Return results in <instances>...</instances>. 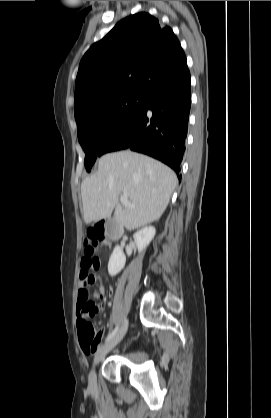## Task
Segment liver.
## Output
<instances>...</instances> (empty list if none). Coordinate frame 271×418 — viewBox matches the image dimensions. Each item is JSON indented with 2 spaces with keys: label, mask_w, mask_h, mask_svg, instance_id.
<instances>
[{
  "label": "liver",
  "mask_w": 271,
  "mask_h": 418,
  "mask_svg": "<svg viewBox=\"0 0 271 418\" xmlns=\"http://www.w3.org/2000/svg\"><path fill=\"white\" fill-rule=\"evenodd\" d=\"M177 183L165 164L130 150L109 153L98 161L97 172L81 184L86 223L109 218L120 227L138 229L158 220ZM125 195L133 206L119 204Z\"/></svg>",
  "instance_id": "1"
}]
</instances>
